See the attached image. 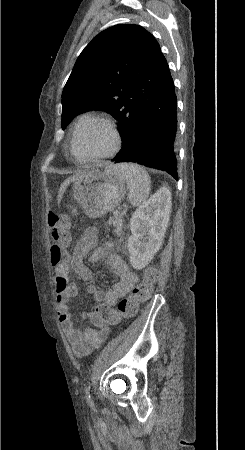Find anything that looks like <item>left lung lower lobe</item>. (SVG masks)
Instances as JSON below:
<instances>
[{"label": "left lung lower lobe", "instance_id": "0a47b994", "mask_svg": "<svg viewBox=\"0 0 245 450\" xmlns=\"http://www.w3.org/2000/svg\"><path fill=\"white\" fill-rule=\"evenodd\" d=\"M176 101L174 82L168 69L142 106L127 143L111 161L137 162L166 171L178 180Z\"/></svg>", "mask_w": 245, "mask_h": 450}]
</instances>
